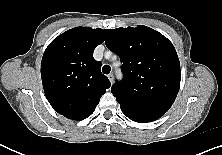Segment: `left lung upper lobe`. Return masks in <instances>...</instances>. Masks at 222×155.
Wrapping results in <instances>:
<instances>
[{
	"mask_svg": "<svg viewBox=\"0 0 222 155\" xmlns=\"http://www.w3.org/2000/svg\"><path fill=\"white\" fill-rule=\"evenodd\" d=\"M106 46L120 57L124 78L111 92L121 110L158 119L180 88V62L173 44L147 26L105 29Z\"/></svg>",
	"mask_w": 222,
	"mask_h": 155,
	"instance_id": "1",
	"label": "left lung upper lobe"
}]
</instances>
